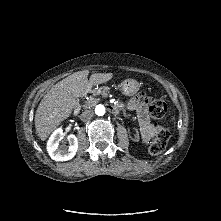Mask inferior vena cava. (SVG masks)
<instances>
[{
  "label": "inferior vena cava",
  "instance_id": "602c4592",
  "mask_svg": "<svg viewBox=\"0 0 221 221\" xmlns=\"http://www.w3.org/2000/svg\"><path fill=\"white\" fill-rule=\"evenodd\" d=\"M94 115V112L92 110H86L82 112V114L79 116L82 121H88L90 120Z\"/></svg>",
  "mask_w": 221,
  "mask_h": 221
}]
</instances>
